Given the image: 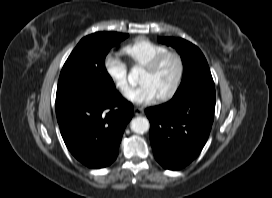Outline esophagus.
<instances>
[{"label": "esophagus", "instance_id": "esophagus-1", "mask_svg": "<svg viewBox=\"0 0 272 198\" xmlns=\"http://www.w3.org/2000/svg\"><path fill=\"white\" fill-rule=\"evenodd\" d=\"M133 112L136 116H141L144 114V110L143 108H140V107H134L133 108Z\"/></svg>", "mask_w": 272, "mask_h": 198}]
</instances>
